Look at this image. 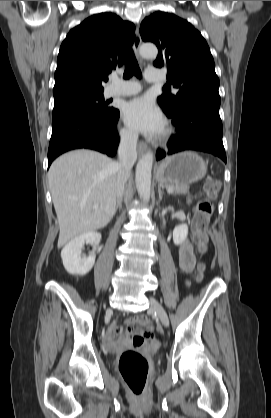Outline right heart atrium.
I'll use <instances>...</instances> for the list:
<instances>
[{
    "label": "right heart atrium",
    "mask_w": 271,
    "mask_h": 418,
    "mask_svg": "<svg viewBox=\"0 0 271 418\" xmlns=\"http://www.w3.org/2000/svg\"><path fill=\"white\" fill-rule=\"evenodd\" d=\"M120 138H121L122 144L125 147H127V148L134 147L135 142H136V137H135L134 133H132L127 128H122L120 130Z\"/></svg>",
    "instance_id": "obj_1"
}]
</instances>
